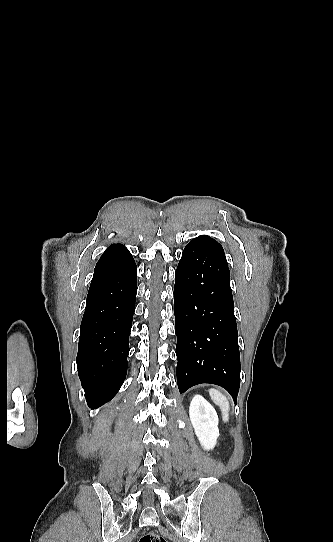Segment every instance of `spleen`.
<instances>
[{"mask_svg": "<svg viewBox=\"0 0 333 542\" xmlns=\"http://www.w3.org/2000/svg\"><path fill=\"white\" fill-rule=\"evenodd\" d=\"M209 396L211 400H213L214 404H216V406H219L224 424H226V422H229L230 404L226 396H224V394H221V392H218V390H214V388H211V390H209Z\"/></svg>", "mask_w": 333, "mask_h": 542, "instance_id": "spleen-1", "label": "spleen"}]
</instances>
